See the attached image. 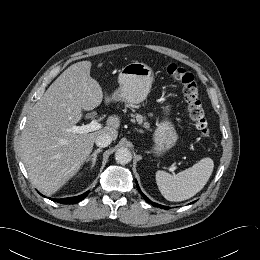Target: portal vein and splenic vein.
Segmentation results:
<instances>
[{"mask_svg":"<svg viewBox=\"0 0 260 260\" xmlns=\"http://www.w3.org/2000/svg\"><path fill=\"white\" fill-rule=\"evenodd\" d=\"M102 128V125L98 122V120L94 119L91 121V123L82 125V126H76L74 125L72 127V131L77 134H83V133H89L92 131H96ZM174 170V168L172 169Z\"/></svg>","mask_w":260,"mask_h":260,"instance_id":"obj_1","label":"portal vein and splenic vein"}]
</instances>
